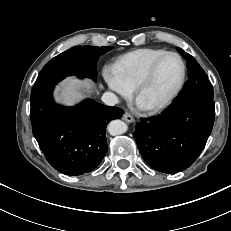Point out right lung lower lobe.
<instances>
[{"mask_svg":"<svg viewBox=\"0 0 231 231\" xmlns=\"http://www.w3.org/2000/svg\"><path fill=\"white\" fill-rule=\"evenodd\" d=\"M55 84L36 85L30 98L33 135L53 168L81 175L96 168L107 152L106 126L124 111L93 100L75 107L55 104Z\"/></svg>","mask_w":231,"mask_h":231,"instance_id":"right-lung-lower-lobe-1","label":"right lung lower lobe"}]
</instances>
